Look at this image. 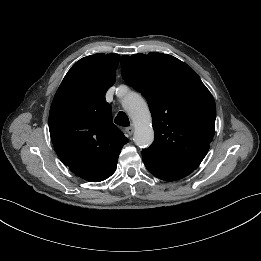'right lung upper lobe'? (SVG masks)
Instances as JSON below:
<instances>
[{"label":"right lung upper lobe","instance_id":"right-lung-upper-lobe-1","mask_svg":"<svg viewBox=\"0 0 261 261\" xmlns=\"http://www.w3.org/2000/svg\"><path fill=\"white\" fill-rule=\"evenodd\" d=\"M118 54H95L77 61L53 99L49 131L63 164L77 176L99 182L117 167L128 139L112 120L106 91L116 80Z\"/></svg>","mask_w":261,"mask_h":261}]
</instances>
